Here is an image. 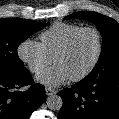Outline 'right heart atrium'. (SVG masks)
Segmentation results:
<instances>
[{
  "label": "right heart atrium",
  "mask_w": 119,
  "mask_h": 119,
  "mask_svg": "<svg viewBox=\"0 0 119 119\" xmlns=\"http://www.w3.org/2000/svg\"><path fill=\"white\" fill-rule=\"evenodd\" d=\"M17 54L32 73H40L52 63V58L41 43L33 39L22 41L18 46Z\"/></svg>",
  "instance_id": "d8ad5b80"
}]
</instances>
